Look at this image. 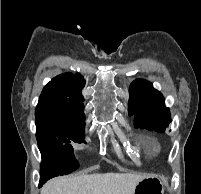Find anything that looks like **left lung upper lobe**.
Here are the masks:
<instances>
[{
    "instance_id": "5c2ea615",
    "label": "left lung upper lobe",
    "mask_w": 201,
    "mask_h": 194,
    "mask_svg": "<svg viewBox=\"0 0 201 194\" xmlns=\"http://www.w3.org/2000/svg\"><path fill=\"white\" fill-rule=\"evenodd\" d=\"M129 115H135V126L164 132L171 122L162 94L146 80L137 79L130 86Z\"/></svg>"
}]
</instances>
